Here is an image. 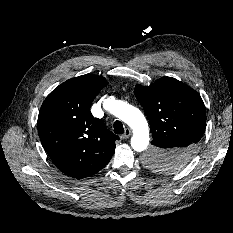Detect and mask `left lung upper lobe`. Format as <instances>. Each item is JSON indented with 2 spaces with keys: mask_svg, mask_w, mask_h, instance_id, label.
<instances>
[{
  "mask_svg": "<svg viewBox=\"0 0 233 233\" xmlns=\"http://www.w3.org/2000/svg\"><path fill=\"white\" fill-rule=\"evenodd\" d=\"M135 96L149 120L152 142L144 162L151 169L173 172L185 166L195 154L206 128V112L200 95L183 82L162 77L150 86L136 85ZM177 136L188 141V161L174 164L175 154L156 144L155 139Z\"/></svg>",
  "mask_w": 233,
  "mask_h": 233,
  "instance_id": "5c2ea615",
  "label": "left lung upper lobe"
}]
</instances>
